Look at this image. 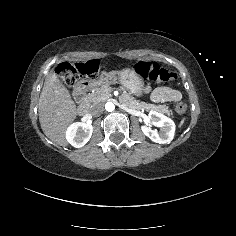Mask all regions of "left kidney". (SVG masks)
I'll return each mask as SVG.
<instances>
[{"label": "left kidney", "mask_w": 236, "mask_h": 236, "mask_svg": "<svg viewBox=\"0 0 236 236\" xmlns=\"http://www.w3.org/2000/svg\"><path fill=\"white\" fill-rule=\"evenodd\" d=\"M148 117L153 125L160 127V131L158 132L156 129L152 130L150 127L142 126L141 130L143 133L155 143L165 144L171 142L174 138L176 127L173 120L153 110L149 112Z\"/></svg>", "instance_id": "left-kidney-1"}]
</instances>
